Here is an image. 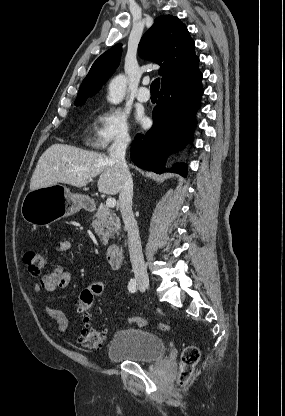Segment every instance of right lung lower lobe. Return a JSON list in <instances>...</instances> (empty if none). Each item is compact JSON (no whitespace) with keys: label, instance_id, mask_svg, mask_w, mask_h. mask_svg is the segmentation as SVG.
<instances>
[{"label":"right lung lower lobe","instance_id":"1","mask_svg":"<svg viewBox=\"0 0 285 416\" xmlns=\"http://www.w3.org/2000/svg\"><path fill=\"white\" fill-rule=\"evenodd\" d=\"M201 79L198 71L161 88L152 128L138 134L131 147V159L138 167L161 173L169 152L190 141L203 93ZM170 171L186 176V165L177 164Z\"/></svg>","mask_w":285,"mask_h":416}]
</instances>
